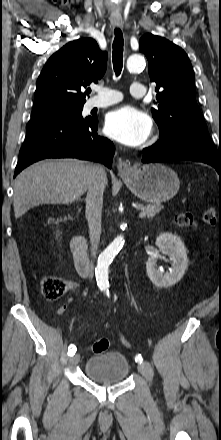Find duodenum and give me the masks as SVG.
Listing matches in <instances>:
<instances>
[{"instance_id":"duodenum-1","label":"duodenum","mask_w":221,"mask_h":440,"mask_svg":"<svg viewBox=\"0 0 221 440\" xmlns=\"http://www.w3.org/2000/svg\"><path fill=\"white\" fill-rule=\"evenodd\" d=\"M71 250L77 272L82 276L89 275L91 261L87 251L86 239L83 235H75L71 241Z\"/></svg>"}]
</instances>
